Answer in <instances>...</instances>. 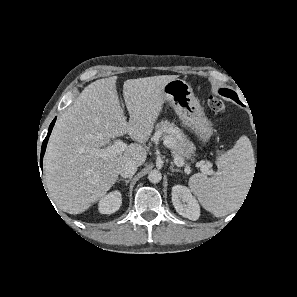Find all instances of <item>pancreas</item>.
Returning <instances> with one entry per match:
<instances>
[{"label": "pancreas", "instance_id": "1", "mask_svg": "<svg viewBox=\"0 0 297 297\" xmlns=\"http://www.w3.org/2000/svg\"><path fill=\"white\" fill-rule=\"evenodd\" d=\"M158 135H163V139L171 142L172 155L174 157L191 158L194 154L195 145L188 140L187 136L174 123L162 120L156 125V134L154 141H157Z\"/></svg>", "mask_w": 297, "mask_h": 297}]
</instances>
